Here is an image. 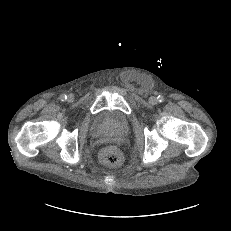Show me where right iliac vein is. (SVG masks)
I'll return each instance as SVG.
<instances>
[{
	"mask_svg": "<svg viewBox=\"0 0 231 231\" xmlns=\"http://www.w3.org/2000/svg\"><path fill=\"white\" fill-rule=\"evenodd\" d=\"M73 98L71 95L68 96V100L71 101Z\"/></svg>",
	"mask_w": 231,
	"mask_h": 231,
	"instance_id": "63e3f726",
	"label": "right iliac vein"
}]
</instances>
